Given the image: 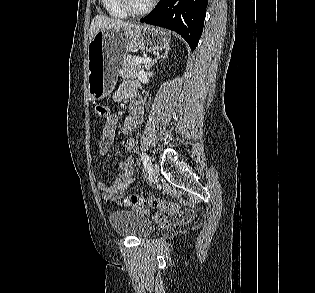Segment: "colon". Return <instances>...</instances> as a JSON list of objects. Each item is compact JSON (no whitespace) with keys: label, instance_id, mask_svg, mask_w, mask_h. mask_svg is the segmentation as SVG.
<instances>
[{"label":"colon","instance_id":"5ec220e1","mask_svg":"<svg viewBox=\"0 0 315 293\" xmlns=\"http://www.w3.org/2000/svg\"><path fill=\"white\" fill-rule=\"evenodd\" d=\"M95 114L101 118L106 119L110 114L107 106L103 104H97L94 108ZM121 206L124 207H135V206H143V207H151L159 209L160 211H170L171 215L174 216V219L180 222H186L190 220L192 214L189 211H181L179 212L178 205L174 202H169L163 199L154 198V197H144L139 194H130L126 198H124L120 203Z\"/></svg>","mask_w":315,"mask_h":293}]
</instances>
